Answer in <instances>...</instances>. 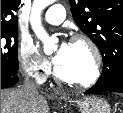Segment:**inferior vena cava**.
Instances as JSON below:
<instances>
[{
  "label": "inferior vena cava",
  "instance_id": "602c4592",
  "mask_svg": "<svg viewBox=\"0 0 123 113\" xmlns=\"http://www.w3.org/2000/svg\"><path fill=\"white\" fill-rule=\"evenodd\" d=\"M23 91L26 94H32V95H38V88L37 85L31 80V79H26L24 86H23Z\"/></svg>",
  "mask_w": 123,
  "mask_h": 113
}]
</instances>
